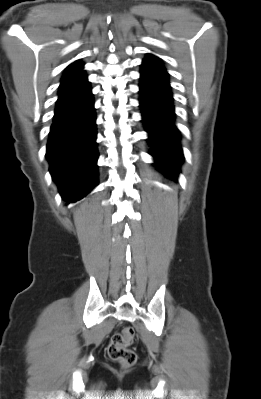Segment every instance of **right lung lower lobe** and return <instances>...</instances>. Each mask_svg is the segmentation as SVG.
I'll return each instance as SVG.
<instances>
[{
    "instance_id": "right-lung-lower-lobe-1",
    "label": "right lung lower lobe",
    "mask_w": 261,
    "mask_h": 399,
    "mask_svg": "<svg viewBox=\"0 0 261 399\" xmlns=\"http://www.w3.org/2000/svg\"><path fill=\"white\" fill-rule=\"evenodd\" d=\"M46 156L63 199L77 201L97 185L96 115L86 75L59 87Z\"/></svg>"
}]
</instances>
